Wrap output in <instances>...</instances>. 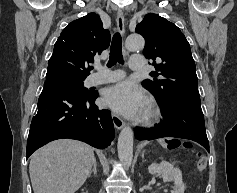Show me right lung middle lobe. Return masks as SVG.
<instances>
[{
  "label": "right lung middle lobe",
  "mask_w": 237,
  "mask_h": 193,
  "mask_svg": "<svg viewBox=\"0 0 237 193\" xmlns=\"http://www.w3.org/2000/svg\"><path fill=\"white\" fill-rule=\"evenodd\" d=\"M85 78L68 75L61 71H47L44 87L59 86L77 95H86L89 91L84 87Z\"/></svg>",
  "instance_id": "dd1d6c3e"
}]
</instances>
